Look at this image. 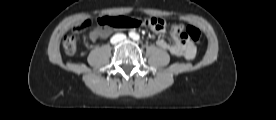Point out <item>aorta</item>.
Here are the masks:
<instances>
[{"label":"aorta","mask_w":276,"mask_h":120,"mask_svg":"<svg viewBox=\"0 0 276 120\" xmlns=\"http://www.w3.org/2000/svg\"><path fill=\"white\" fill-rule=\"evenodd\" d=\"M130 37H131L132 39H137V38H138V35L135 34V33H132V34L130 35Z\"/></svg>","instance_id":"aorta-1"}]
</instances>
